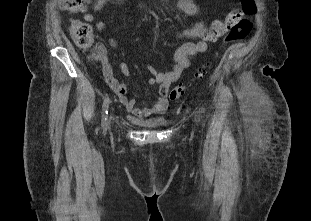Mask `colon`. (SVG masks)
I'll return each mask as SVG.
<instances>
[{
    "label": "colon",
    "mask_w": 311,
    "mask_h": 221,
    "mask_svg": "<svg viewBox=\"0 0 311 221\" xmlns=\"http://www.w3.org/2000/svg\"><path fill=\"white\" fill-rule=\"evenodd\" d=\"M91 0H66V1H58V8H64L65 12H76L75 14L79 16L83 10L82 5L80 4H90ZM242 8H244V12H246V16L248 17H256V2L255 0H242ZM241 14L238 13L237 10L230 12L223 21H216L211 24L207 34L206 40L214 41V36H222V32L226 31L228 28V24H232V21L235 18H240ZM250 21H244L238 23L237 26H233L232 33L229 36H224L226 41L238 42L243 40L250 31ZM69 32L76 43V45L82 50H89L92 48L93 44V29L92 26L88 22L84 21H73L69 27ZM96 56L99 58L104 57V50L102 48L97 49ZM207 73V68H201L194 76L195 80L200 81L204 78ZM187 90L186 85H179L174 87L170 93V100H176L178 97L183 95Z\"/></svg>",
    "instance_id": "colon-1"
}]
</instances>
